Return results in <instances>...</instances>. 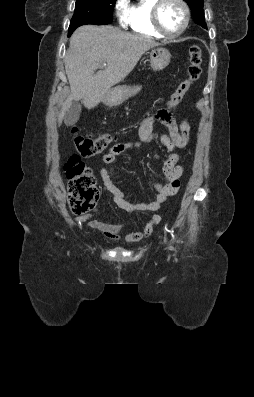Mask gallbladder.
<instances>
[{"label": "gallbladder", "instance_id": "obj_1", "mask_svg": "<svg viewBox=\"0 0 254 397\" xmlns=\"http://www.w3.org/2000/svg\"><path fill=\"white\" fill-rule=\"evenodd\" d=\"M81 112V105L78 101H73L65 113L64 122L67 126L74 125L79 117Z\"/></svg>", "mask_w": 254, "mask_h": 397}]
</instances>
